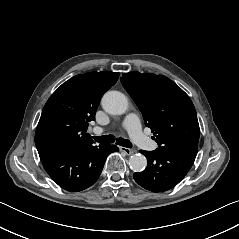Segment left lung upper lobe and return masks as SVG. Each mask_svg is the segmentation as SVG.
<instances>
[{
    "label": "left lung upper lobe",
    "instance_id": "obj_1",
    "mask_svg": "<svg viewBox=\"0 0 239 239\" xmlns=\"http://www.w3.org/2000/svg\"><path fill=\"white\" fill-rule=\"evenodd\" d=\"M131 95L159 148H198L200 129L189 96L162 75L124 73L120 78Z\"/></svg>",
    "mask_w": 239,
    "mask_h": 239
}]
</instances>
